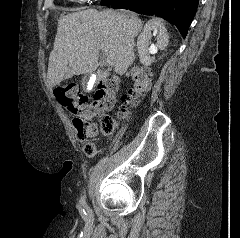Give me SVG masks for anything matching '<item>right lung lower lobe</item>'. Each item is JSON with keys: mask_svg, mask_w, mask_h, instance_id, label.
Returning a JSON list of instances; mask_svg holds the SVG:
<instances>
[{"mask_svg": "<svg viewBox=\"0 0 240 238\" xmlns=\"http://www.w3.org/2000/svg\"><path fill=\"white\" fill-rule=\"evenodd\" d=\"M199 0H102L103 6L123 8L145 15L159 16L173 23L185 38Z\"/></svg>", "mask_w": 240, "mask_h": 238, "instance_id": "1", "label": "right lung lower lobe"}]
</instances>
